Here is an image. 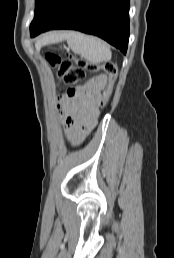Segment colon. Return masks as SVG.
<instances>
[{
    "label": "colon",
    "mask_w": 174,
    "mask_h": 258,
    "mask_svg": "<svg viewBox=\"0 0 174 258\" xmlns=\"http://www.w3.org/2000/svg\"><path fill=\"white\" fill-rule=\"evenodd\" d=\"M45 58L50 66L56 70L60 81L68 86L67 93L71 96L77 95L78 84L85 79L87 72L104 71L108 76V84L103 92L102 104L106 105L109 102L118 78L117 63L106 61L102 64H94L84 59L74 58L71 55L63 58L55 52L47 53Z\"/></svg>",
    "instance_id": "colon-1"
}]
</instances>
